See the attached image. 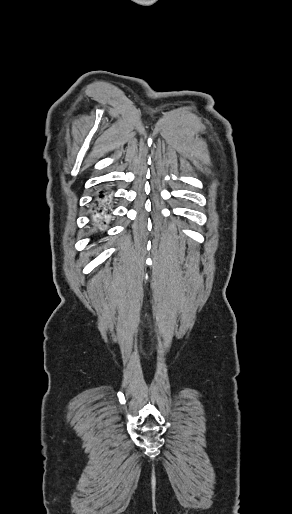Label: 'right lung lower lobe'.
Here are the masks:
<instances>
[{"mask_svg":"<svg viewBox=\"0 0 292 514\" xmlns=\"http://www.w3.org/2000/svg\"><path fill=\"white\" fill-rule=\"evenodd\" d=\"M107 202L108 194L101 191L93 201L94 221H101L109 213Z\"/></svg>","mask_w":292,"mask_h":514,"instance_id":"right-lung-lower-lobe-1","label":"right lung lower lobe"}]
</instances>
